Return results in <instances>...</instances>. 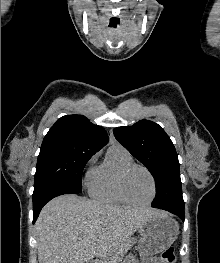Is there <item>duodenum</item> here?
Returning a JSON list of instances; mask_svg holds the SVG:
<instances>
[{
    "instance_id": "410a0bca",
    "label": "duodenum",
    "mask_w": 220,
    "mask_h": 263,
    "mask_svg": "<svg viewBox=\"0 0 220 263\" xmlns=\"http://www.w3.org/2000/svg\"><path fill=\"white\" fill-rule=\"evenodd\" d=\"M91 263H98V261L95 260V261H92Z\"/></svg>"
}]
</instances>
